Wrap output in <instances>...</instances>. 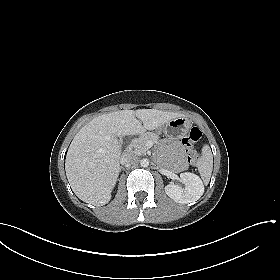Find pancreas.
Segmentation results:
<instances>
[{
  "label": "pancreas",
  "mask_w": 280,
  "mask_h": 280,
  "mask_svg": "<svg viewBox=\"0 0 280 280\" xmlns=\"http://www.w3.org/2000/svg\"><path fill=\"white\" fill-rule=\"evenodd\" d=\"M159 139L158 135L152 132H146L141 134L138 138L132 141V146L134 148V153L137 155H145L148 147L147 142H157Z\"/></svg>",
  "instance_id": "cf45deb5"
}]
</instances>
